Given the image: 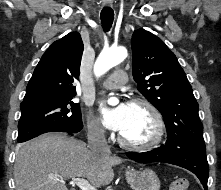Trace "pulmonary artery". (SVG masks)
Returning <instances> with one entry per match:
<instances>
[{
  "label": "pulmonary artery",
  "mask_w": 221,
  "mask_h": 190,
  "mask_svg": "<svg viewBox=\"0 0 221 190\" xmlns=\"http://www.w3.org/2000/svg\"><path fill=\"white\" fill-rule=\"evenodd\" d=\"M127 74L124 70H115L107 79L104 80L102 86L106 89H115L126 85Z\"/></svg>",
  "instance_id": "pulmonary-artery-1"
}]
</instances>
